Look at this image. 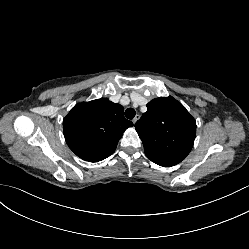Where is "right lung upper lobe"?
<instances>
[{
  "instance_id": "cb5924a9",
  "label": "right lung upper lobe",
  "mask_w": 249,
  "mask_h": 249,
  "mask_svg": "<svg viewBox=\"0 0 249 249\" xmlns=\"http://www.w3.org/2000/svg\"><path fill=\"white\" fill-rule=\"evenodd\" d=\"M124 108L107 98L75 105L63 120L66 143L80 158L98 162L116 149L123 132L133 126Z\"/></svg>"
}]
</instances>
